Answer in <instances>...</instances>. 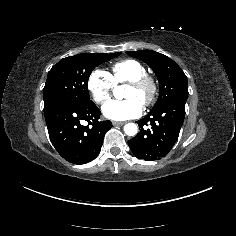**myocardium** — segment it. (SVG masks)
<instances>
[{
  "label": "myocardium",
  "mask_w": 236,
  "mask_h": 236,
  "mask_svg": "<svg viewBox=\"0 0 236 236\" xmlns=\"http://www.w3.org/2000/svg\"><path fill=\"white\" fill-rule=\"evenodd\" d=\"M130 87L146 89V97L143 106L147 107L153 103L157 94V84L153 77L143 74L133 78L127 83Z\"/></svg>",
  "instance_id": "f54148a6"
}]
</instances>
